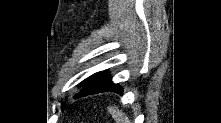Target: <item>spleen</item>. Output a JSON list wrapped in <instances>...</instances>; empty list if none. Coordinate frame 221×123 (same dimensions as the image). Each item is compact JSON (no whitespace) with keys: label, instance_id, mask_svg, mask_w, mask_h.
<instances>
[{"label":"spleen","instance_id":"1","mask_svg":"<svg viewBox=\"0 0 221 123\" xmlns=\"http://www.w3.org/2000/svg\"><path fill=\"white\" fill-rule=\"evenodd\" d=\"M108 111L112 115L116 123H130L129 118L117 108L109 107Z\"/></svg>","mask_w":221,"mask_h":123}]
</instances>
